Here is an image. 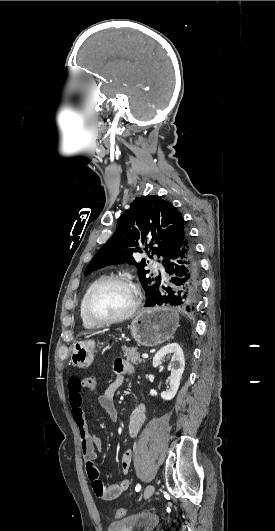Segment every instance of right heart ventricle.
Returning a JSON list of instances; mask_svg holds the SVG:
<instances>
[{
    "instance_id": "right-heart-ventricle-1",
    "label": "right heart ventricle",
    "mask_w": 275,
    "mask_h": 531,
    "mask_svg": "<svg viewBox=\"0 0 275 531\" xmlns=\"http://www.w3.org/2000/svg\"><path fill=\"white\" fill-rule=\"evenodd\" d=\"M97 282V281H96ZM94 282L85 292V294L83 295L82 299H81V302H80V316H81V319H82V322H83V325L86 327V328H95L94 325H92L91 323H89L88 321H86L82 315V311H81V308H82V302H83V299L86 295V293L88 292V290L96 283Z\"/></svg>"
}]
</instances>
